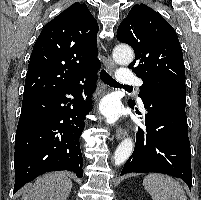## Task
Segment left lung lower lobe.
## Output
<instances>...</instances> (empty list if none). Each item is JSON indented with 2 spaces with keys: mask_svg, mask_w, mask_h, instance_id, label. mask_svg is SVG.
<instances>
[{
  "mask_svg": "<svg viewBox=\"0 0 201 200\" xmlns=\"http://www.w3.org/2000/svg\"><path fill=\"white\" fill-rule=\"evenodd\" d=\"M142 101L147 111V129L144 132L139 128L134 152L125 163L121 175L131 172L164 173L183 179L191 190L185 91L158 90L147 94Z\"/></svg>",
  "mask_w": 201,
  "mask_h": 200,
  "instance_id": "left-lung-lower-lobe-1",
  "label": "left lung lower lobe"
}]
</instances>
